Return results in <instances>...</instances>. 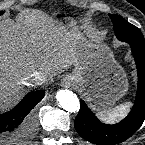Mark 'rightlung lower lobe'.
<instances>
[{"instance_id": "obj_1", "label": "right lung lower lobe", "mask_w": 145, "mask_h": 145, "mask_svg": "<svg viewBox=\"0 0 145 145\" xmlns=\"http://www.w3.org/2000/svg\"><path fill=\"white\" fill-rule=\"evenodd\" d=\"M44 94V91L29 93L12 110L0 114V133L6 132L10 136H20L24 130V118L42 100Z\"/></svg>"}]
</instances>
